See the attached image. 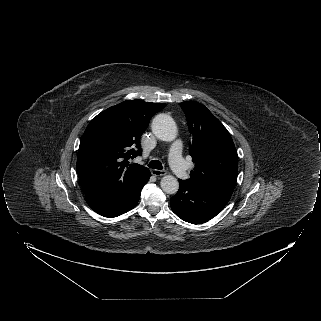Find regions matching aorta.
I'll return each mask as SVG.
<instances>
[{"instance_id":"762f6f07","label":"aorta","mask_w":321,"mask_h":321,"mask_svg":"<svg viewBox=\"0 0 321 321\" xmlns=\"http://www.w3.org/2000/svg\"><path fill=\"white\" fill-rule=\"evenodd\" d=\"M152 132L158 139L171 142L177 136V126L171 116L158 114L152 121ZM160 185L167 194H175L179 189V182L172 175L164 176Z\"/></svg>"}]
</instances>
